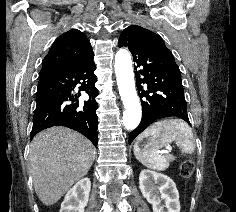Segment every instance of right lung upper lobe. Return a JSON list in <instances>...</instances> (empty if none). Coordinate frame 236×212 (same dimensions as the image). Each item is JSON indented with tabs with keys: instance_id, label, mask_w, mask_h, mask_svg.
<instances>
[{
	"instance_id": "1",
	"label": "right lung upper lobe",
	"mask_w": 236,
	"mask_h": 212,
	"mask_svg": "<svg viewBox=\"0 0 236 212\" xmlns=\"http://www.w3.org/2000/svg\"><path fill=\"white\" fill-rule=\"evenodd\" d=\"M91 49L86 35L77 29H72L53 43L43 60L40 73L70 66L83 58Z\"/></svg>"
}]
</instances>
